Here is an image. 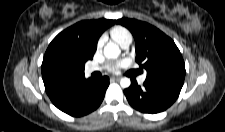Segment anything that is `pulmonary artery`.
Here are the masks:
<instances>
[{
  "label": "pulmonary artery",
  "instance_id": "pulmonary-artery-1",
  "mask_svg": "<svg viewBox=\"0 0 225 132\" xmlns=\"http://www.w3.org/2000/svg\"><path fill=\"white\" fill-rule=\"evenodd\" d=\"M130 43H125L122 45V48L127 49L129 47ZM99 68L96 66H89L86 68V72L87 73H92L94 71H97ZM146 79V75H141L138 77V82L139 83H143Z\"/></svg>",
  "mask_w": 225,
  "mask_h": 132
}]
</instances>
